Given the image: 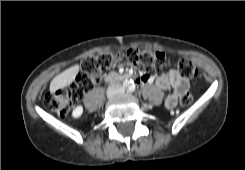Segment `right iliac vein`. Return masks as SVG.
I'll use <instances>...</instances> for the list:
<instances>
[{
	"instance_id": "right-iliac-vein-1",
	"label": "right iliac vein",
	"mask_w": 245,
	"mask_h": 170,
	"mask_svg": "<svg viewBox=\"0 0 245 170\" xmlns=\"http://www.w3.org/2000/svg\"><path fill=\"white\" fill-rule=\"evenodd\" d=\"M112 96H113L112 93H110V92L107 93V97H108V98H111Z\"/></svg>"
}]
</instances>
